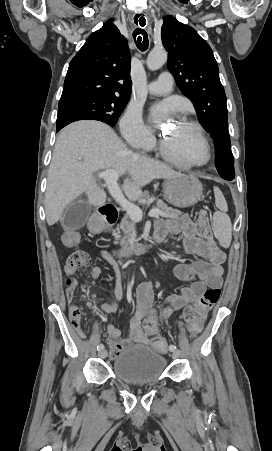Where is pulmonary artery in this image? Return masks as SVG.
<instances>
[{
    "mask_svg": "<svg viewBox=\"0 0 272 451\" xmlns=\"http://www.w3.org/2000/svg\"><path fill=\"white\" fill-rule=\"evenodd\" d=\"M172 87L173 77L165 70L156 81L150 83L145 88V92L152 95L165 96L172 91Z\"/></svg>",
    "mask_w": 272,
    "mask_h": 451,
    "instance_id": "e3ab8cb5",
    "label": "pulmonary artery"
}]
</instances>
